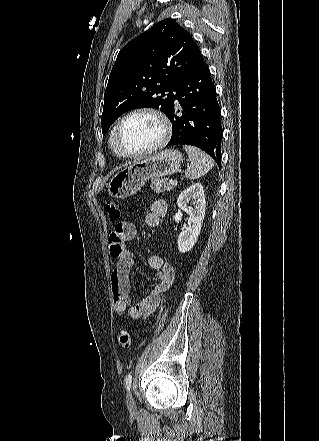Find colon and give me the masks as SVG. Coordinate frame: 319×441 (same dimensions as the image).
Returning a JSON list of instances; mask_svg holds the SVG:
<instances>
[{
	"label": "colon",
	"mask_w": 319,
	"mask_h": 441,
	"mask_svg": "<svg viewBox=\"0 0 319 441\" xmlns=\"http://www.w3.org/2000/svg\"><path fill=\"white\" fill-rule=\"evenodd\" d=\"M104 210L109 219L113 222L118 221L121 217L120 203L116 200H107L104 203ZM117 342L121 348H129L132 342L129 331L126 329L119 330L117 333Z\"/></svg>",
	"instance_id": "colon-1"
}]
</instances>
